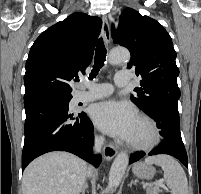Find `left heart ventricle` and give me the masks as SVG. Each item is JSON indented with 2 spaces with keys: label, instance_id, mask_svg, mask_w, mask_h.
Instances as JSON below:
<instances>
[{
  "label": "left heart ventricle",
  "instance_id": "left-heart-ventricle-1",
  "mask_svg": "<svg viewBox=\"0 0 201 194\" xmlns=\"http://www.w3.org/2000/svg\"><path fill=\"white\" fill-rule=\"evenodd\" d=\"M150 138V131L147 128V126L137 120L133 135L130 139V141L133 142H146Z\"/></svg>",
  "mask_w": 201,
  "mask_h": 194
}]
</instances>
